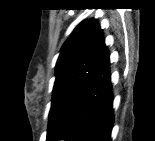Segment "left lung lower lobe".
Wrapping results in <instances>:
<instances>
[{"label":"left lung lower lobe","instance_id":"obj_1","mask_svg":"<svg viewBox=\"0 0 155 141\" xmlns=\"http://www.w3.org/2000/svg\"><path fill=\"white\" fill-rule=\"evenodd\" d=\"M108 49L85 87L64 119L58 139L72 141H111L114 123Z\"/></svg>","mask_w":155,"mask_h":141}]
</instances>
